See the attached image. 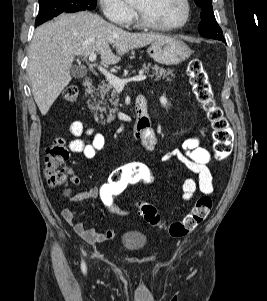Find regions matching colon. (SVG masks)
<instances>
[{"label": "colon", "instance_id": "5ec220e1", "mask_svg": "<svg viewBox=\"0 0 267 301\" xmlns=\"http://www.w3.org/2000/svg\"><path fill=\"white\" fill-rule=\"evenodd\" d=\"M187 74L197 101L202 105L212 127L213 152L215 158H227L233 148V131L222 109L213 99L209 76L199 59H192L187 66ZM62 96L68 102L78 98V88L67 86ZM69 158V151L63 139H55L46 149L44 172L48 185L52 188L64 185L68 175L63 165ZM153 180L151 169L140 162H128L117 167L108 180L99 186L98 199L104 210L117 215L120 198L134 185L149 184ZM140 215L153 226L165 227L171 236L183 237L194 231L209 215L212 200L208 196L199 197L190 212L179 221L165 224L157 208L146 201L138 203Z\"/></svg>", "mask_w": 267, "mask_h": 301}]
</instances>
